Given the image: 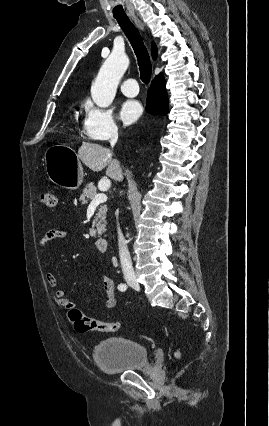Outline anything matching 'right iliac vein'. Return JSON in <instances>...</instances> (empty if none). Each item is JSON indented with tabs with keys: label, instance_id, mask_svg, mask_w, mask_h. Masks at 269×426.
<instances>
[{
	"label": "right iliac vein",
	"instance_id": "1",
	"mask_svg": "<svg viewBox=\"0 0 269 426\" xmlns=\"http://www.w3.org/2000/svg\"><path fill=\"white\" fill-rule=\"evenodd\" d=\"M126 281H127V283H128L130 286H132V287H134V288H136V289H139V285H138V283H137V281H136V279H135V278H133V277H127V278H126Z\"/></svg>",
	"mask_w": 269,
	"mask_h": 426
}]
</instances>
